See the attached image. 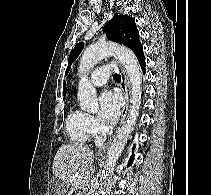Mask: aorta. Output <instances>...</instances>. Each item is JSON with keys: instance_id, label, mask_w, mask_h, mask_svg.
<instances>
[{"instance_id": "762f6f07", "label": "aorta", "mask_w": 211, "mask_h": 195, "mask_svg": "<svg viewBox=\"0 0 211 195\" xmlns=\"http://www.w3.org/2000/svg\"><path fill=\"white\" fill-rule=\"evenodd\" d=\"M108 56H115L124 66L132 89L130 91L131 106L129 114L126 123L119 129L108 149L103 180H106L114 171L116 162L123 151L130 134L134 130L139 115L142 94V73L134 53L131 50L114 43L97 42L85 49L80 60L79 74L81 79L79 81L77 96L81 109L88 112H96L98 110L96 89L88 80L87 73L93 69L99 61ZM102 192L103 187L99 189V193Z\"/></svg>"}]
</instances>
